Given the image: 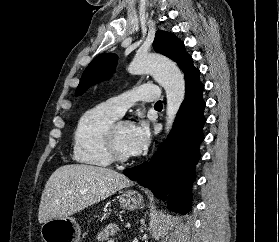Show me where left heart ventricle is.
Wrapping results in <instances>:
<instances>
[{"instance_id": "left-heart-ventricle-1", "label": "left heart ventricle", "mask_w": 279, "mask_h": 242, "mask_svg": "<svg viewBox=\"0 0 279 242\" xmlns=\"http://www.w3.org/2000/svg\"><path fill=\"white\" fill-rule=\"evenodd\" d=\"M131 126L128 124L121 125L116 131V144L119 151L126 156H131L128 150V140Z\"/></svg>"}]
</instances>
